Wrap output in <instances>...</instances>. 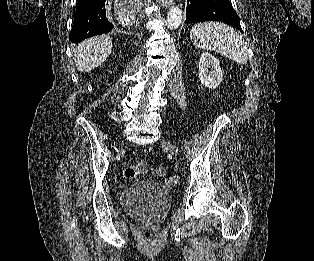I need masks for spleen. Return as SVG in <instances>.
<instances>
[{
    "mask_svg": "<svg viewBox=\"0 0 314 261\" xmlns=\"http://www.w3.org/2000/svg\"><path fill=\"white\" fill-rule=\"evenodd\" d=\"M190 38L196 47L218 52L240 65L248 61V47L242 35L223 23H197L190 31Z\"/></svg>",
    "mask_w": 314,
    "mask_h": 261,
    "instance_id": "3e777b00",
    "label": "spleen"
}]
</instances>
